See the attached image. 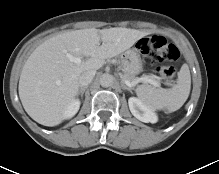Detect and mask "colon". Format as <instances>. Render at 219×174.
<instances>
[{
    "label": "colon",
    "instance_id": "1",
    "mask_svg": "<svg viewBox=\"0 0 219 174\" xmlns=\"http://www.w3.org/2000/svg\"><path fill=\"white\" fill-rule=\"evenodd\" d=\"M142 54L157 64V72L167 85L173 83L175 66L180 54L177 47L170 44L162 36L143 38L138 42Z\"/></svg>",
    "mask_w": 219,
    "mask_h": 174
}]
</instances>
